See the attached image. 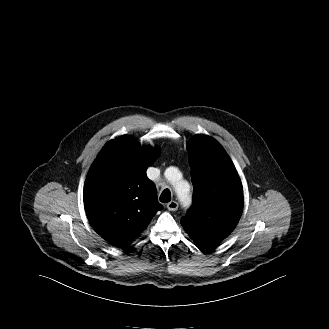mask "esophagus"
<instances>
[{
  "instance_id": "1",
  "label": "esophagus",
  "mask_w": 329,
  "mask_h": 329,
  "mask_svg": "<svg viewBox=\"0 0 329 329\" xmlns=\"http://www.w3.org/2000/svg\"><path fill=\"white\" fill-rule=\"evenodd\" d=\"M167 209L169 211H176L178 209V203L176 201H171L167 204Z\"/></svg>"
}]
</instances>
